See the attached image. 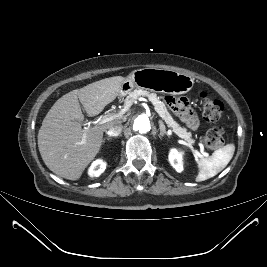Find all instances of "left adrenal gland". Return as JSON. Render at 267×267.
<instances>
[{
    "label": "left adrenal gland",
    "instance_id": "a2214340",
    "mask_svg": "<svg viewBox=\"0 0 267 267\" xmlns=\"http://www.w3.org/2000/svg\"><path fill=\"white\" fill-rule=\"evenodd\" d=\"M159 127H160V135L163 137L164 135H167V136H169L168 134H167V132H166V128H165V125H164V123L160 120L159 121Z\"/></svg>",
    "mask_w": 267,
    "mask_h": 267
}]
</instances>
